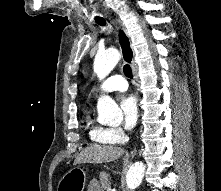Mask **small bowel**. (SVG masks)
Returning <instances> with one entry per match:
<instances>
[{
	"mask_svg": "<svg viewBox=\"0 0 221 191\" xmlns=\"http://www.w3.org/2000/svg\"><path fill=\"white\" fill-rule=\"evenodd\" d=\"M88 191H102V189L96 179H93L89 182Z\"/></svg>",
	"mask_w": 221,
	"mask_h": 191,
	"instance_id": "small-bowel-1",
	"label": "small bowel"
}]
</instances>
